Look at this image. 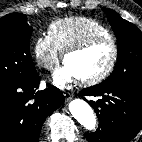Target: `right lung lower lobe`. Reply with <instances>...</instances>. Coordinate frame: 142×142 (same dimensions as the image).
Here are the masks:
<instances>
[{
	"label": "right lung lower lobe",
	"instance_id": "obj_1",
	"mask_svg": "<svg viewBox=\"0 0 142 142\" xmlns=\"http://www.w3.org/2000/svg\"><path fill=\"white\" fill-rule=\"evenodd\" d=\"M39 75L0 87V142H37L42 125L65 98L57 88L37 91Z\"/></svg>",
	"mask_w": 142,
	"mask_h": 142
}]
</instances>
